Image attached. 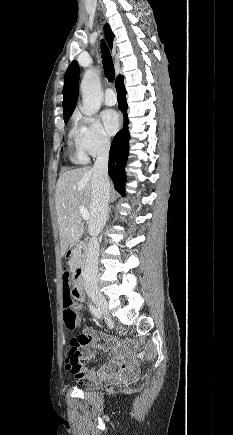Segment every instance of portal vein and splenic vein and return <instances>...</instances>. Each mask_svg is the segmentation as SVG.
<instances>
[{
    "instance_id": "18ae733b",
    "label": "portal vein and splenic vein",
    "mask_w": 233,
    "mask_h": 435,
    "mask_svg": "<svg viewBox=\"0 0 233 435\" xmlns=\"http://www.w3.org/2000/svg\"><path fill=\"white\" fill-rule=\"evenodd\" d=\"M79 212L83 220H88L90 217L89 211L84 206H79Z\"/></svg>"
}]
</instances>
